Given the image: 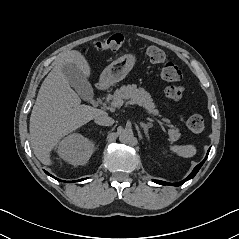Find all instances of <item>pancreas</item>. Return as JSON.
Masks as SVG:
<instances>
[{"mask_svg":"<svg viewBox=\"0 0 239 239\" xmlns=\"http://www.w3.org/2000/svg\"><path fill=\"white\" fill-rule=\"evenodd\" d=\"M113 99H131L136 104L143 106L148 111V113H151L153 115L159 114L158 110L155 108V104L152 102L151 95L143 88H137L136 85H127L120 87L115 91ZM168 134L170 136L171 142L177 141L181 136L179 130L176 128L170 129L168 131Z\"/></svg>","mask_w":239,"mask_h":239,"instance_id":"cf45deb5","label":"pancreas"}]
</instances>
